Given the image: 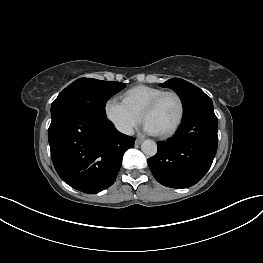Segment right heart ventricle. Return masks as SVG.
Returning <instances> with one entry per match:
<instances>
[{"label": "right heart ventricle", "mask_w": 263, "mask_h": 263, "mask_svg": "<svg viewBox=\"0 0 263 263\" xmlns=\"http://www.w3.org/2000/svg\"><path fill=\"white\" fill-rule=\"evenodd\" d=\"M164 89L147 85H138L124 92L123 102L135 113L142 115L147 104L162 93Z\"/></svg>", "instance_id": "obj_1"}]
</instances>
